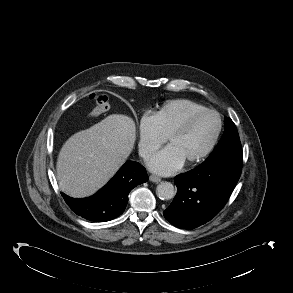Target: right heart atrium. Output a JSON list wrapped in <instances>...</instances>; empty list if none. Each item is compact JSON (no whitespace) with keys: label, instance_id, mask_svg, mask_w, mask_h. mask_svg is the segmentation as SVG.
<instances>
[{"label":"right heart atrium","instance_id":"1","mask_svg":"<svg viewBox=\"0 0 293 293\" xmlns=\"http://www.w3.org/2000/svg\"><path fill=\"white\" fill-rule=\"evenodd\" d=\"M165 142L153 114L144 113L138 122V148L145 160Z\"/></svg>","mask_w":293,"mask_h":293}]
</instances>
